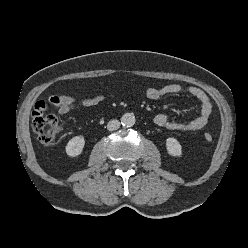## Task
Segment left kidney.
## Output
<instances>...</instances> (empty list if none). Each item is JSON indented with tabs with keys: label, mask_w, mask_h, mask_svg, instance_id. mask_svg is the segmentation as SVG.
<instances>
[{
	"label": "left kidney",
	"mask_w": 248,
	"mask_h": 248,
	"mask_svg": "<svg viewBox=\"0 0 248 248\" xmlns=\"http://www.w3.org/2000/svg\"><path fill=\"white\" fill-rule=\"evenodd\" d=\"M166 149L168 154L172 156H181L182 155V146L175 138H167L166 139Z\"/></svg>",
	"instance_id": "5707ae66"
}]
</instances>
